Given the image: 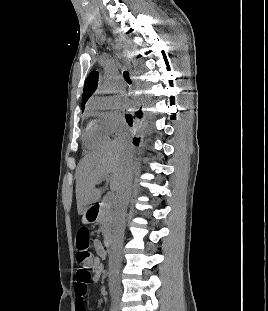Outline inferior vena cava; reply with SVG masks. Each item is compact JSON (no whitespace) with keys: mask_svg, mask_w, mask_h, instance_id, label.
I'll use <instances>...</instances> for the list:
<instances>
[{"mask_svg":"<svg viewBox=\"0 0 268 311\" xmlns=\"http://www.w3.org/2000/svg\"><path fill=\"white\" fill-rule=\"evenodd\" d=\"M118 141L124 143L126 146H130V141L124 136H119ZM128 152L132 151L131 147L127 148ZM132 161L129 163L125 180L122 184L121 189L116 194V206L113 215V229H112V250L109 254V266L111 269L118 268L121 262L120 248L123 244L124 230H125V215L129 199L132 194ZM110 277L111 285L119 287V281L117 276Z\"/></svg>","mask_w":268,"mask_h":311,"instance_id":"inferior-vena-cava-1","label":"inferior vena cava"}]
</instances>
